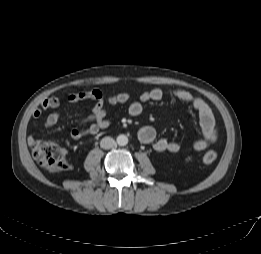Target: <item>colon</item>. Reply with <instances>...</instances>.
Segmentation results:
<instances>
[{
  "label": "colon",
  "mask_w": 261,
  "mask_h": 254,
  "mask_svg": "<svg viewBox=\"0 0 261 254\" xmlns=\"http://www.w3.org/2000/svg\"><path fill=\"white\" fill-rule=\"evenodd\" d=\"M33 157L38 164L50 172H58L66 169L67 160L64 149L52 140L35 141L31 144ZM217 158V152L213 149L203 156L204 164H212Z\"/></svg>",
  "instance_id": "obj_1"
}]
</instances>
